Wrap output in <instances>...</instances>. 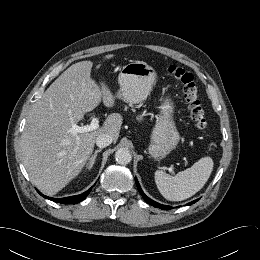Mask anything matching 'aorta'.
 <instances>
[{"instance_id":"1","label":"aorta","mask_w":260,"mask_h":260,"mask_svg":"<svg viewBox=\"0 0 260 260\" xmlns=\"http://www.w3.org/2000/svg\"><path fill=\"white\" fill-rule=\"evenodd\" d=\"M115 159L118 164L126 165L131 162L132 154L128 148H119L115 153Z\"/></svg>"}]
</instances>
